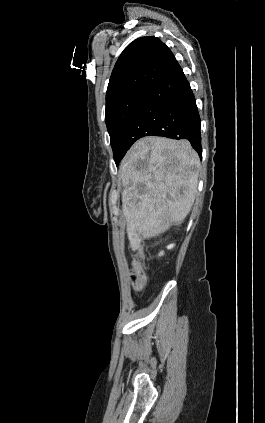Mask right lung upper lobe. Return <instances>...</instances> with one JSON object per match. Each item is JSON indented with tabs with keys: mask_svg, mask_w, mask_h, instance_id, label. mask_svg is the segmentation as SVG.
<instances>
[{
	"mask_svg": "<svg viewBox=\"0 0 265 423\" xmlns=\"http://www.w3.org/2000/svg\"><path fill=\"white\" fill-rule=\"evenodd\" d=\"M176 60L156 37H141L130 43L118 58L111 74L106 108L137 91H150Z\"/></svg>",
	"mask_w": 265,
	"mask_h": 423,
	"instance_id": "cb5924a9",
	"label": "right lung upper lobe"
}]
</instances>
